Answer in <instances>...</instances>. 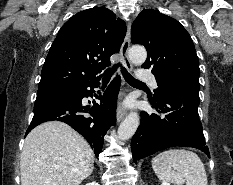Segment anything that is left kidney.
Here are the masks:
<instances>
[{
  "instance_id": "1",
  "label": "left kidney",
  "mask_w": 233,
  "mask_h": 185,
  "mask_svg": "<svg viewBox=\"0 0 233 185\" xmlns=\"http://www.w3.org/2000/svg\"><path fill=\"white\" fill-rule=\"evenodd\" d=\"M161 185H169V184H167V183H162Z\"/></svg>"
}]
</instances>
